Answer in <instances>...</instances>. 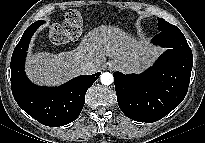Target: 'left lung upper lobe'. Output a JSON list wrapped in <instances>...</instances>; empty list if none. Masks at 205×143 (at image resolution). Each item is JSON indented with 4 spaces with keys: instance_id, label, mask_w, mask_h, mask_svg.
Returning <instances> with one entry per match:
<instances>
[{
    "instance_id": "1",
    "label": "left lung upper lobe",
    "mask_w": 205,
    "mask_h": 143,
    "mask_svg": "<svg viewBox=\"0 0 205 143\" xmlns=\"http://www.w3.org/2000/svg\"><path fill=\"white\" fill-rule=\"evenodd\" d=\"M157 19H158V30L159 31L178 29L176 26L170 24L169 22L165 21L162 18H157Z\"/></svg>"
}]
</instances>
